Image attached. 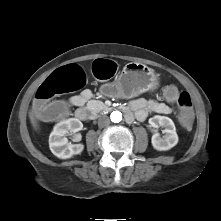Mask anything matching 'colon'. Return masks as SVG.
I'll return each mask as SVG.
<instances>
[{"instance_id": "obj_1", "label": "colon", "mask_w": 221, "mask_h": 221, "mask_svg": "<svg viewBox=\"0 0 221 221\" xmlns=\"http://www.w3.org/2000/svg\"><path fill=\"white\" fill-rule=\"evenodd\" d=\"M92 69L98 79H109L115 74L117 65L111 60L99 59L94 62ZM85 83L86 75L77 65H68L54 71L37 90L34 107L38 117L48 122L69 118L72 113L69 103L65 101L46 103L57 95L82 88ZM161 97L167 105L178 104V117L184 129H192L195 126V119L192 117V100L187 92H181L178 87L170 85L163 89Z\"/></svg>"}]
</instances>
